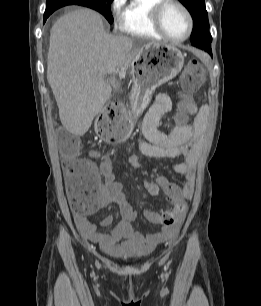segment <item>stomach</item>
Instances as JSON below:
<instances>
[{
	"label": "stomach",
	"mask_w": 261,
	"mask_h": 306,
	"mask_svg": "<svg viewBox=\"0 0 261 306\" xmlns=\"http://www.w3.org/2000/svg\"><path fill=\"white\" fill-rule=\"evenodd\" d=\"M183 65L184 56L173 45H152L142 50L132 63L135 82L130 95V110L125 113L128 131L133 129L154 90L176 77Z\"/></svg>",
	"instance_id": "obj_1"
}]
</instances>
